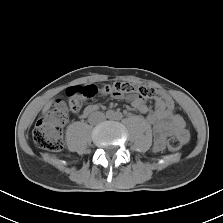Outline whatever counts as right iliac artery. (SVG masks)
<instances>
[{
	"instance_id": "1",
	"label": "right iliac artery",
	"mask_w": 223,
	"mask_h": 223,
	"mask_svg": "<svg viewBox=\"0 0 223 223\" xmlns=\"http://www.w3.org/2000/svg\"><path fill=\"white\" fill-rule=\"evenodd\" d=\"M107 116H108V117H112V116H113V112H112V111H108V112H107Z\"/></svg>"
}]
</instances>
